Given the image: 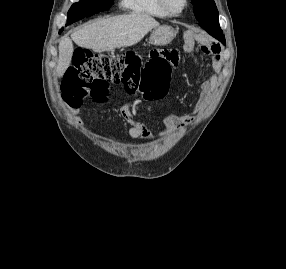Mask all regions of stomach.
Wrapping results in <instances>:
<instances>
[{
	"mask_svg": "<svg viewBox=\"0 0 286 269\" xmlns=\"http://www.w3.org/2000/svg\"><path fill=\"white\" fill-rule=\"evenodd\" d=\"M175 31L172 27L164 25L154 28L150 35V42L154 45H166L172 41Z\"/></svg>",
	"mask_w": 286,
	"mask_h": 269,
	"instance_id": "obj_1",
	"label": "stomach"
}]
</instances>
